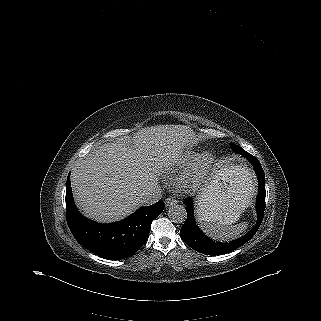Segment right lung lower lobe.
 <instances>
[{
    "instance_id": "right-lung-lower-lobe-1",
    "label": "right lung lower lobe",
    "mask_w": 321,
    "mask_h": 321,
    "mask_svg": "<svg viewBox=\"0 0 321 321\" xmlns=\"http://www.w3.org/2000/svg\"><path fill=\"white\" fill-rule=\"evenodd\" d=\"M164 209V202L141 207L127 218L111 224L95 223L83 217L73 202L70 175L66 185V217L74 238L94 254L109 260L124 259L147 241L152 221Z\"/></svg>"
}]
</instances>
